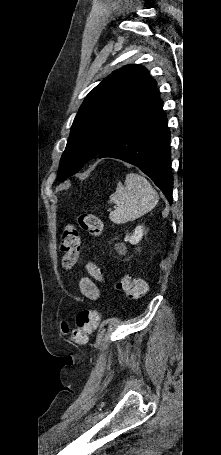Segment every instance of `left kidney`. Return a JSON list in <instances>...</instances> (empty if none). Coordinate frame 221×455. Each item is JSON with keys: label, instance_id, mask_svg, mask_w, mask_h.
<instances>
[{"label": "left kidney", "instance_id": "obj_1", "mask_svg": "<svg viewBox=\"0 0 221 455\" xmlns=\"http://www.w3.org/2000/svg\"><path fill=\"white\" fill-rule=\"evenodd\" d=\"M143 237V227L137 226L134 232L129 236L127 235L124 239L125 242L129 241L131 244L135 245L138 244Z\"/></svg>", "mask_w": 221, "mask_h": 455}]
</instances>
